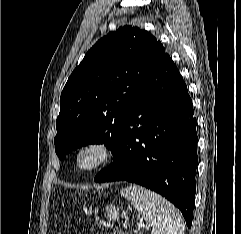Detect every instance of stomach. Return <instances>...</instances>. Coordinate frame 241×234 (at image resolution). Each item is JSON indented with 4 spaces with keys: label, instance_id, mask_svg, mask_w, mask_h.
Wrapping results in <instances>:
<instances>
[{
    "label": "stomach",
    "instance_id": "obj_1",
    "mask_svg": "<svg viewBox=\"0 0 241 234\" xmlns=\"http://www.w3.org/2000/svg\"><path fill=\"white\" fill-rule=\"evenodd\" d=\"M106 213L105 216L110 220V221H118L119 220V208L116 207L113 204H109L105 208Z\"/></svg>",
    "mask_w": 241,
    "mask_h": 234
}]
</instances>
